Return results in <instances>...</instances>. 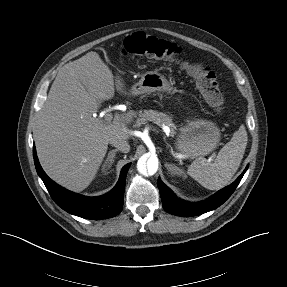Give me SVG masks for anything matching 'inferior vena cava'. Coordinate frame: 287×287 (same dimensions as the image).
<instances>
[{"mask_svg":"<svg viewBox=\"0 0 287 287\" xmlns=\"http://www.w3.org/2000/svg\"><path fill=\"white\" fill-rule=\"evenodd\" d=\"M109 143L124 153H128L130 151V145L128 144V142L120 137H111Z\"/></svg>","mask_w":287,"mask_h":287,"instance_id":"inferior-vena-cava-1","label":"inferior vena cava"}]
</instances>
